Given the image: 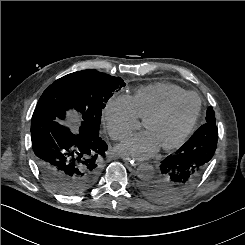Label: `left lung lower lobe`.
<instances>
[{
	"mask_svg": "<svg viewBox=\"0 0 245 245\" xmlns=\"http://www.w3.org/2000/svg\"><path fill=\"white\" fill-rule=\"evenodd\" d=\"M218 140L216 124L205 123L174 154L161 161L156 179L142 191L156 201H168L188 190L212 159Z\"/></svg>",
	"mask_w": 245,
	"mask_h": 245,
	"instance_id": "0a47b994",
	"label": "left lung lower lobe"
}]
</instances>
